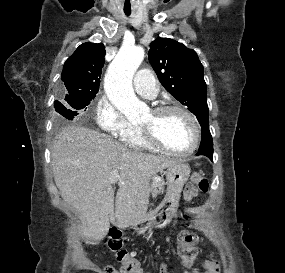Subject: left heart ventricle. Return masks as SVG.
Listing matches in <instances>:
<instances>
[{"instance_id":"left-heart-ventricle-1","label":"left heart ventricle","mask_w":285,"mask_h":273,"mask_svg":"<svg viewBox=\"0 0 285 273\" xmlns=\"http://www.w3.org/2000/svg\"><path fill=\"white\" fill-rule=\"evenodd\" d=\"M139 124L152 128L158 139L171 149L184 151L193 143L194 131L192 124L180 112L170 111L155 114L150 111L143 116Z\"/></svg>"}]
</instances>
